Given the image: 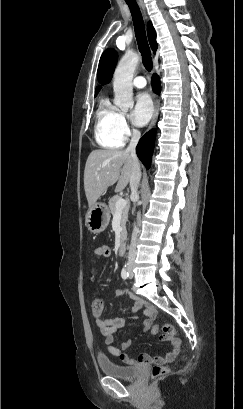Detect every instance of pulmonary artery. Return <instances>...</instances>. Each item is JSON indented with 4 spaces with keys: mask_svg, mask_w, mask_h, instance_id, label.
<instances>
[{
    "mask_svg": "<svg viewBox=\"0 0 243 409\" xmlns=\"http://www.w3.org/2000/svg\"><path fill=\"white\" fill-rule=\"evenodd\" d=\"M133 86L136 88H144L147 84L144 76H137L133 80Z\"/></svg>",
    "mask_w": 243,
    "mask_h": 409,
    "instance_id": "1",
    "label": "pulmonary artery"
}]
</instances>
